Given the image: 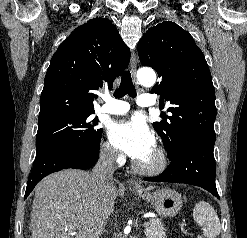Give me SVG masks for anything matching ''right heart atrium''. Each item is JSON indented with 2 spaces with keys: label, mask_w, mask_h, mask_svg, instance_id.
<instances>
[{
  "label": "right heart atrium",
  "mask_w": 247,
  "mask_h": 238,
  "mask_svg": "<svg viewBox=\"0 0 247 238\" xmlns=\"http://www.w3.org/2000/svg\"><path fill=\"white\" fill-rule=\"evenodd\" d=\"M100 157L103 161L108 163L121 164L122 156L118 151L108 142H103L100 147Z\"/></svg>",
  "instance_id": "obj_1"
}]
</instances>
